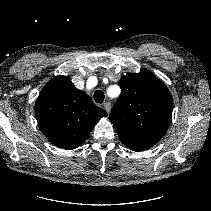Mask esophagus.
Instances as JSON below:
<instances>
[{"label":"esophagus","mask_w":211,"mask_h":211,"mask_svg":"<svg viewBox=\"0 0 211 211\" xmlns=\"http://www.w3.org/2000/svg\"><path fill=\"white\" fill-rule=\"evenodd\" d=\"M103 107L105 109V111L109 114L110 113V110H111V104L110 102H106L103 104Z\"/></svg>","instance_id":"esophagus-1"}]
</instances>
